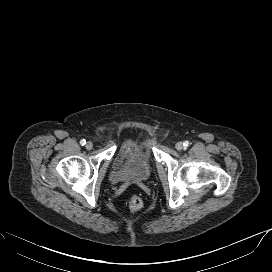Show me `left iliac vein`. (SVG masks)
<instances>
[{"label": "left iliac vein", "mask_w": 272, "mask_h": 272, "mask_svg": "<svg viewBox=\"0 0 272 272\" xmlns=\"http://www.w3.org/2000/svg\"><path fill=\"white\" fill-rule=\"evenodd\" d=\"M175 146L177 150H182L184 148V145L182 142H177Z\"/></svg>", "instance_id": "obj_1"}]
</instances>
